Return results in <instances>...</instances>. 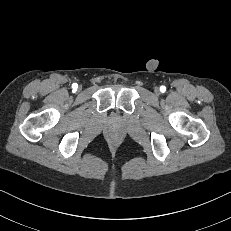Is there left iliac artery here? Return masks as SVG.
<instances>
[{
	"mask_svg": "<svg viewBox=\"0 0 231 231\" xmlns=\"http://www.w3.org/2000/svg\"><path fill=\"white\" fill-rule=\"evenodd\" d=\"M160 91H161V92H165V91H166V87H165V86H161V87H160Z\"/></svg>",
	"mask_w": 231,
	"mask_h": 231,
	"instance_id": "left-iliac-artery-1",
	"label": "left iliac artery"
}]
</instances>
